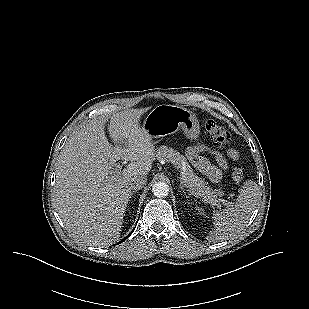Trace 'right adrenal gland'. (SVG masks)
<instances>
[{"mask_svg":"<svg viewBox=\"0 0 309 309\" xmlns=\"http://www.w3.org/2000/svg\"><path fill=\"white\" fill-rule=\"evenodd\" d=\"M135 192H137V190L132 191V195H131V197H130V198H132V197H133V194H134Z\"/></svg>","mask_w":309,"mask_h":309,"instance_id":"2a0ac1e0","label":"right adrenal gland"}]
</instances>
